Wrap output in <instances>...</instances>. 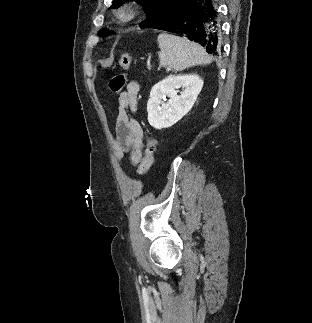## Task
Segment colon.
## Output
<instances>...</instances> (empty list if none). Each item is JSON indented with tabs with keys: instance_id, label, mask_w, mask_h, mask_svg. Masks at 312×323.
<instances>
[{
	"instance_id": "1",
	"label": "colon",
	"mask_w": 312,
	"mask_h": 323,
	"mask_svg": "<svg viewBox=\"0 0 312 323\" xmlns=\"http://www.w3.org/2000/svg\"><path fill=\"white\" fill-rule=\"evenodd\" d=\"M119 67L122 71H119L112 75L107 84L109 91L114 95L120 94L125 88L126 77L124 71H127L130 67V56L128 54L120 55ZM154 153L155 139L149 136L147 139L146 149L142 158V162L138 168L139 175H145L147 171L151 168L154 161Z\"/></svg>"
}]
</instances>
